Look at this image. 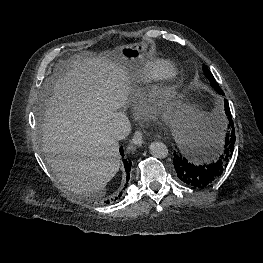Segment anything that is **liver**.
Returning <instances> with one entry per match:
<instances>
[{
  "label": "liver",
  "mask_w": 263,
  "mask_h": 263,
  "mask_svg": "<svg viewBox=\"0 0 263 263\" xmlns=\"http://www.w3.org/2000/svg\"><path fill=\"white\" fill-rule=\"evenodd\" d=\"M112 56L83 53L53 82L44 113L43 147L59 181L78 194L104 189L120 167L119 145L107 130L128 100L130 62ZM50 80H47V87ZM176 126L197 121L192 107L178 105Z\"/></svg>",
  "instance_id": "6515ba94"
}]
</instances>
